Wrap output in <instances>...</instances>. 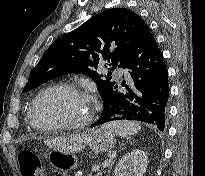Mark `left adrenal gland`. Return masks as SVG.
Listing matches in <instances>:
<instances>
[{
    "label": "left adrenal gland",
    "mask_w": 205,
    "mask_h": 176,
    "mask_svg": "<svg viewBox=\"0 0 205 176\" xmlns=\"http://www.w3.org/2000/svg\"><path fill=\"white\" fill-rule=\"evenodd\" d=\"M110 170H111V168L109 169L107 176H109V175H110Z\"/></svg>",
    "instance_id": "1"
}]
</instances>
